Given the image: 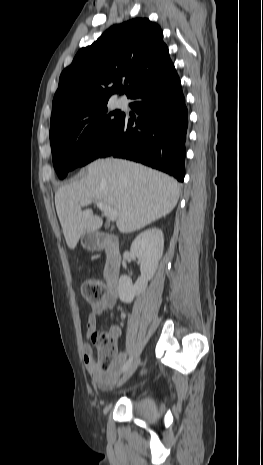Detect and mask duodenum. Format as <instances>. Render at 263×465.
Returning <instances> with one entry per match:
<instances>
[{"label": "duodenum", "instance_id": "duodenum-1", "mask_svg": "<svg viewBox=\"0 0 263 465\" xmlns=\"http://www.w3.org/2000/svg\"><path fill=\"white\" fill-rule=\"evenodd\" d=\"M87 247L93 250H105L107 255L105 266V279L109 291L117 293L118 281L122 265V256L119 249L118 239L111 234L91 235L87 239Z\"/></svg>", "mask_w": 263, "mask_h": 465}]
</instances>
